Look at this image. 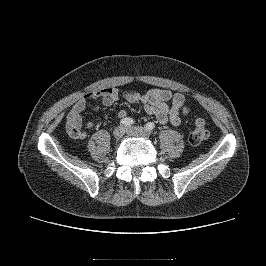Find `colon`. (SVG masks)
<instances>
[{
  "label": "colon",
  "mask_w": 266,
  "mask_h": 266,
  "mask_svg": "<svg viewBox=\"0 0 266 266\" xmlns=\"http://www.w3.org/2000/svg\"><path fill=\"white\" fill-rule=\"evenodd\" d=\"M208 129L204 119L197 118L190 132L189 142L193 145L202 143L208 137Z\"/></svg>",
  "instance_id": "1"
}]
</instances>
